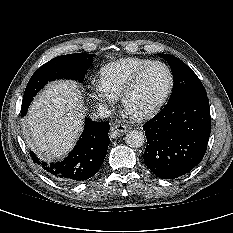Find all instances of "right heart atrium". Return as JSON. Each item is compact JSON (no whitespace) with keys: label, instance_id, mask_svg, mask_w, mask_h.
<instances>
[{"label":"right heart atrium","instance_id":"1","mask_svg":"<svg viewBox=\"0 0 233 233\" xmlns=\"http://www.w3.org/2000/svg\"><path fill=\"white\" fill-rule=\"evenodd\" d=\"M89 98L99 107L104 108L111 107L116 102V97L103 89L99 83L94 85L93 90L89 93Z\"/></svg>","mask_w":233,"mask_h":233}]
</instances>
